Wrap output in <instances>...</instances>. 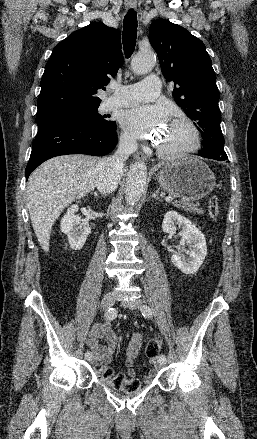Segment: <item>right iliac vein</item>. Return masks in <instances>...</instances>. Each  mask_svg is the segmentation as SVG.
<instances>
[{
  "label": "right iliac vein",
  "instance_id": "63e3f726",
  "mask_svg": "<svg viewBox=\"0 0 257 439\" xmlns=\"http://www.w3.org/2000/svg\"><path fill=\"white\" fill-rule=\"evenodd\" d=\"M116 301V294L114 292H109L102 298L101 301V308L103 310H108L110 307H112L115 304ZM90 362L93 363V360L90 359Z\"/></svg>",
  "mask_w": 257,
  "mask_h": 439
}]
</instances>
